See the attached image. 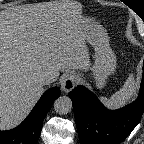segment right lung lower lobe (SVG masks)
Instances as JSON below:
<instances>
[{
	"mask_svg": "<svg viewBox=\"0 0 144 144\" xmlns=\"http://www.w3.org/2000/svg\"><path fill=\"white\" fill-rule=\"evenodd\" d=\"M59 95L58 87L46 91L18 127L9 131H0V144H37L43 120Z\"/></svg>",
	"mask_w": 144,
	"mask_h": 144,
	"instance_id": "obj_1",
	"label": "right lung lower lobe"
}]
</instances>
